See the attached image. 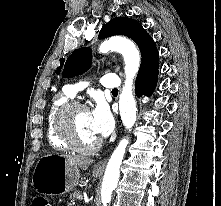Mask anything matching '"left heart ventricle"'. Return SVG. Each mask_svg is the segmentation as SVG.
Here are the masks:
<instances>
[{
	"label": "left heart ventricle",
	"mask_w": 221,
	"mask_h": 206,
	"mask_svg": "<svg viewBox=\"0 0 221 206\" xmlns=\"http://www.w3.org/2000/svg\"><path fill=\"white\" fill-rule=\"evenodd\" d=\"M74 125L79 141L84 145H91L98 137L94 134L91 124L89 112L85 110H77L74 112Z\"/></svg>",
	"instance_id": "1"
}]
</instances>
